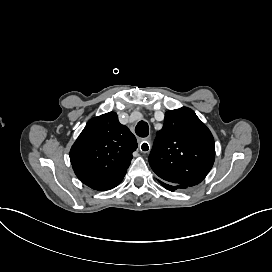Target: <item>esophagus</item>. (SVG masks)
I'll list each match as a JSON object with an SVG mask.
<instances>
[{"label":"esophagus","instance_id":"obj_1","mask_svg":"<svg viewBox=\"0 0 272 272\" xmlns=\"http://www.w3.org/2000/svg\"><path fill=\"white\" fill-rule=\"evenodd\" d=\"M139 148H140V151L143 152V153H148L150 151V143L148 141H142L140 144H139Z\"/></svg>","mask_w":272,"mask_h":272}]
</instances>
